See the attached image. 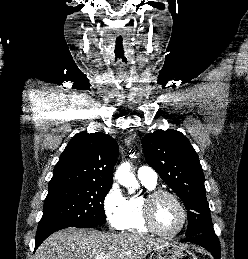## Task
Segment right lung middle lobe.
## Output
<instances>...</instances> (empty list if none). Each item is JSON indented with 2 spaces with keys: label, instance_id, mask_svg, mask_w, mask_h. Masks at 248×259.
<instances>
[{
  "label": "right lung middle lobe",
  "instance_id": "1",
  "mask_svg": "<svg viewBox=\"0 0 248 259\" xmlns=\"http://www.w3.org/2000/svg\"><path fill=\"white\" fill-rule=\"evenodd\" d=\"M112 185H49L38 229L54 225L91 228L106 222L103 202Z\"/></svg>",
  "mask_w": 248,
  "mask_h": 259
}]
</instances>
